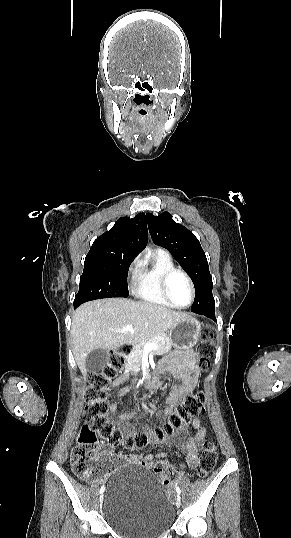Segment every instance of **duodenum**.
<instances>
[{
  "mask_svg": "<svg viewBox=\"0 0 291 538\" xmlns=\"http://www.w3.org/2000/svg\"><path fill=\"white\" fill-rule=\"evenodd\" d=\"M133 351V348L130 347V346H124V347H121L119 349V352L123 355V356H127V355H130ZM138 386H141V383H138Z\"/></svg>",
  "mask_w": 291,
  "mask_h": 538,
  "instance_id": "obj_1",
  "label": "duodenum"
}]
</instances>
